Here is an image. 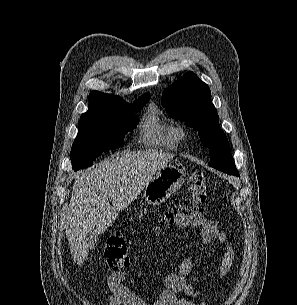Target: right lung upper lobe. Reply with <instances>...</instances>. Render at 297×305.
I'll return each instance as SVG.
<instances>
[{"label": "right lung upper lobe", "instance_id": "right-lung-upper-lobe-1", "mask_svg": "<svg viewBox=\"0 0 297 305\" xmlns=\"http://www.w3.org/2000/svg\"><path fill=\"white\" fill-rule=\"evenodd\" d=\"M150 98V94H145L138 98V101ZM121 103H126L118 96L108 95L99 91H92L89 95V110H102Z\"/></svg>", "mask_w": 297, "mask_h": 305}]
</instances>
